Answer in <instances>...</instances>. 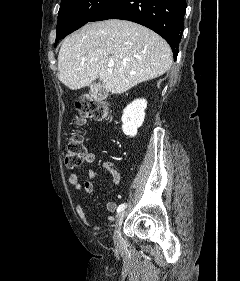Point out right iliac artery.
<instances>
[{
  "label": "right iliac artery",
  "instance_id": "right-iliac-artery-1",
  "mask_svg": "<svg viewBox=\"0 0 240 281\" xmlns=\"http://www.w3.org/2000/svg\"><path fill=\"white\" fill-rule=\"evenodd\" d=\"M125 208H126V204L123 203V204L118 206L117 212L119 213V212L123 211Z\"/></svg>",
  "mask_w": 240,
  "mask_h": 281
}]
</instances>
